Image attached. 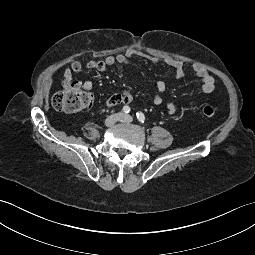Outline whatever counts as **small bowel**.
<instances>
[{
	"instance_id": "1",
	"label": "small bowel",
	"mask_w": 255,
	"mask_h": 255,
	"mask_svg": "<svg viewBox=\"0 0 255 255\" xmlns=\"http://www.w3.org/2000/svg\"><path fill=\"white\" fill-rule=\"evenodd\" d=\"M135 57L144 58L154 64L164 63L166 66L171 68L174 71L176 78H182L184 76V65L183 62L180 60H167L162 62L161 60L153 57L152 55L148 54L145 51L132 48L127 50L124 53H120L114 56H108L104 60L99 61H90L86 64L87 69L96 70L98 72L106 71L110 66L116 64H123V65H130ZM83 69V65L79 61H74L71 63L70 67L64 70V76L66 78H70L73 73H79ZM194 74L199 78L201 81V87L203 92L211 93L215 89V80L214 77L203 67L195 66L193 68ZM83 88L91 92L93 89V82L87 80L83 84ZM166 91V84L163 80H157L155 83L154 92L152 94V101L155 105H160L163 103V95ZM132 95L128 90H123L120 93L114 94L108 98L106 101V106L108 108L114 107L119 104H130L132 102ZM166 110L168 114L173 115L177 113L178 106L175 102H167Z\"/></svg>"
}]
</instances>
